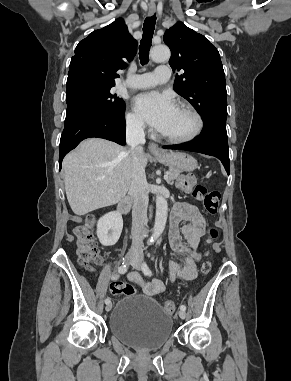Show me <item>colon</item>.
Listing matches in <instances>:
<instances>
[{"label":"colon","mask_w":291,"mask_h":381,"mask_svg":"<svg viewBox=\"0 0 291 381\" xmlns=\"http://www.w3.org/2000/svg\"><path fill=\"white\" fill-rule=\"evenodd\" d=\"M178 188L183 193L191 195L194 199L202 201L208 214L215 215L217 213L219 206V193L217 191L207 190L192 177L180 179L178 181ZM94 227V219H89L86 223L77 225L73 230L76 237V255L78 261L88 269H92L102 261L94 240ZM218 238V229L210 227L207 232V244H215ZM210 269V261H204L201 266L202 274H207ZM110 290L113 295L131 296L136 293L132 285L123 282H113L110 285ZM164 310L167 314H174L176 312V303L171 300L165 302Z\"/></svg>","instance_id":"1"}]
</instances>
